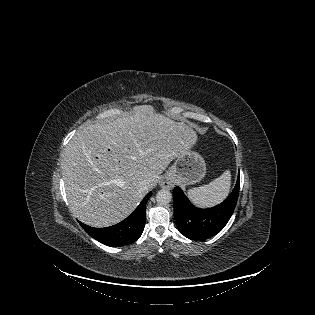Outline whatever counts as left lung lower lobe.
<instances>
[{"label": "left lung lower lobe", "mask_w": 315, "mask_h": 315, "mask_svg": "<svg viewBox=\"0 0 315 315\" xmlns=\"http://www.w3.org/2000/svg\"><path fill=\"white\" fill-rule=\"evenodd\" d=\"M240 173L235 188L221 204L209 208L194 207L180 187L173 191L174 218L178 230L191 240H205L219 233L232 216L239 195Z\"/></svg>", "instance_id": "obj_1"}]
</instances>
